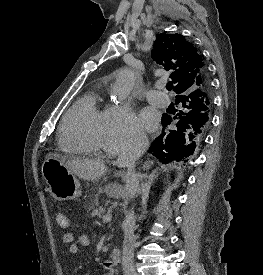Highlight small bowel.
I'll use <instances>...</instances> for the list:
<instances>
[{
  "instance_id": "1",
  "label": "small bowel",
  "mask_w": 263,
  "mask_h": 275,
  "mask_svg": "<svg viewBox=\"0 0 263 275\" xmlns=\"http://www.w3.org/2000/svg\"><path fill=\"white\" fill-rule=\"evenodd\" d=\"M69 239H66L65 235L62 236V241L69 244V253L75 255L79 252L80 247H86L90 244V238L86 234H81L77 241L74 240L73 234L68 233ZM113 270H108L104 275H113ZM87 275V274H86Z\"/></svg>"
}]
</instances>
